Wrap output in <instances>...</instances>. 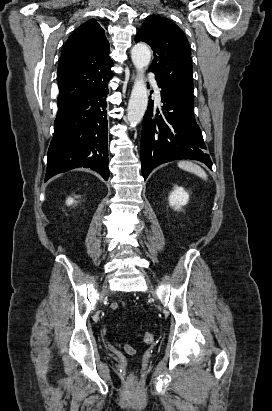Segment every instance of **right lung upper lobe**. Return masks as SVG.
Instances as JSON below:
<instances>
[{
    "mask_svg": "<svg viewBox=\"0 0 272 411\" xmlns=\"http://www.w3.org/2000/svg\"><path fill=\"white\" fill-rule=\"evenodd\" d=\"M113 63L104 30L91 19L68 38L58 66L57 104L81 96L112 77Z\"/></svg>",
    "mask_w": 272,
    "mask_h": 411,
    "instance_id": "obj_1",
    "label": "right lung upper lobe"
}]
</instances>
